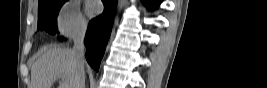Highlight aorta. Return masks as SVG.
<instances>
[{
  "label": "aorta",
  "instance_id": "762f6f07",
  "mask_svg": "<svg viewBox=\"0 0 267 88\" xmlns=\"http://www.w3.org/2000/svg\"><path fill=\"white\" fill-rule=\"evenodd\" d=\"M125 5V0H121L120 3H119V7L120 8H123Z\"/></svg>",
  "mask_w": 267,
  "mask_h": 88
}]
</instances>
